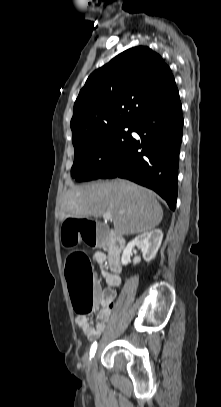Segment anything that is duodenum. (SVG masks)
<instances>
[{
  "label": "duodenum",
  "instance_id": "1",
  "mask_svg": "<svg viewBox=\"0 0 221 407\" xmlns=\"http://www.w3.org/2000/svg\"><path fill=\"white\" fill-rule=\"evenodd\" d=\"M110 250L108 256V262L111 270L114 273H118L121 270V252L124 248L125 241L114 231H110Z\"/></svg>",
  "mask_w": 221,
  "mask_h": 407
}]
</instances>
